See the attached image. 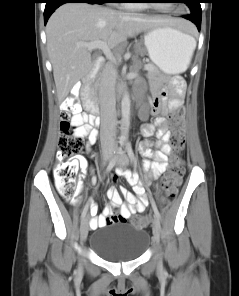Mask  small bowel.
<instances>
[{
	"label": "small bowel",
	"mask_w": 239,
	"mask_h": 296,
	"mask_svg": "<svg viewBox=\"0 0 239 296\" xmlns=\"http://www.w3.org/2000/svg\"><path fill=\"white\" fill-rule=\"evenodd\" d=\"M138 86L141 82L137 83ZM184 90V81L181 78H175L173 80V94L167 101L168 92L165 89L158 91L153 99L151 105V113L157 114L162 110L176 109L182 104V92ZM145 116V115H143ZM75 120L80 124L77 134L86 139V148L90 151V146L95 143L98 137V131L93 127L92 116H89L85 112H78ZM142 133L145 137L156 135L158 142L156 143L157 150H151L153 142L146 140L141 149L146 159L143 163V168L146 172H150L153 177H157L164 173L168 165V155L171 152L169 145L170 130L167 118L162 115L157 117L154 122L145 124L142 127ZM79 162L82 166H86V162L83 158H79ZM118 177H123L132 186V191L126 188H110L107 191V196L111 200V204L105 206L102 214L94 217L91 220V227L98 228L104 227L109 224H113L108 221V218L117 210H119V216L126 221L131 215L138 212H144L146 206H148V198L145 194V186L149 184L148 181H140L136 172H131L124 169H118L113 176L116 180ZM123 200L128 203V206L123 205ZM91 210L92 216L97 215V205L92 204Z\"/></svg>",
	"instance_id": "c3829d8e"
}]
</instances>
